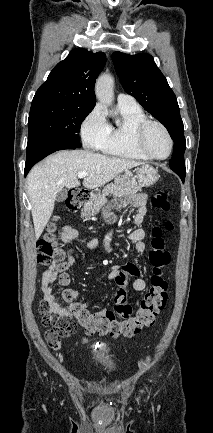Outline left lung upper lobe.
<instances>
[{"label":"left lung upper lobe","mask_w":213,"mask_h":433,"mask_svg":"<svg viewBox=\"0 0 213 433\" xmlns=\"http://www.w3.org/2000/svg\"><path fill=\"white\" fill-rule=\"evenodd\" d=\"M112 60L124 90L159 120L171 135L174 151L169 163L170 168L175 173L186 174V140L178 102L153 57L146 53L128 55L114 52Z\"/></svg>","instance_id":"5c2ea615"}]
</instances>
